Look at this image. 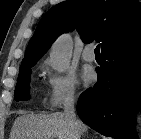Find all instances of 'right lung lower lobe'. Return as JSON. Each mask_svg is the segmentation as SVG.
<instances>
[{
    "label": "right lung lower lobe",
    "mask_w": 141,
    "mask_h": 139,
    "mask_svg": "<svg viewBox=\"0 0 141 139\" xmlns=\"http://www.w3.org/2000/svg\"><path fill=\"white\" fill-rule=\"evenodd\" d=\"M98 82L78 100L80 119L115 139H137L134 115L141 102V33L102 51Z\"/></svg>",
    "instance_id": "98d812e1"
}]
</instances>
